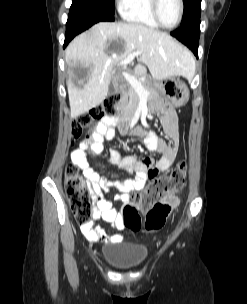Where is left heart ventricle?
<instances>
[{
  "mask_svg": "<svg viewBox=\"0 0 247 304\" xmlns=\"http://www.w3.org/2000/svg\"><path fill=\"white\" fill-rule=\"evenodd\" d=\"M159 15L165 26H173L179 17L178 0H160Z\"/></svg>",
  "mask_w": 247,
  "mask_h": 304,
  "instance_id": "left-heart-ventricle-1",
  "label": "left heart ventricle"
}]
</instances>
